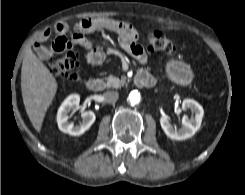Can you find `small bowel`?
<instances>
[{"mask_svg": "<svg viewBox=\"0 0 245 195\" xmlns=\"http://www.w3.org/2000/svg\"><path fill=\"white\" fill-rule=\"evenodd\" d=\"M68 29L67 23L59 22L53 29L45 31L40 41L34 45L36 53L45 57L53 53L62 52L73 46H79L87 50L84 56L87 63L99 65L105 61L106 54L102 49L94 46L85 34L98 30H109L118 34V42L122 49L134 57L140 64L144 65L147 63V54L138 43V32L128 22L107 17L83 19L78 23L77 32L72 35L71 39L66 37ZM51 32H54L56 37L50 45H46L45 41L49 38Z\"/></svg>", "mask_w": 245, "mask_h": 195, "instance_id": "1", "label": "small bowel"}]
</instances>
